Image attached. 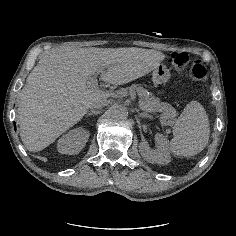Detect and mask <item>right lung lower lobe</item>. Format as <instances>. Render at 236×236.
<instances>
[{"mask_svg":"<svg viewBox=\"0 0 236 236\" xmlns=\"http://www.w3.org/2000/svg\"><path fill=\"white\" fill-rule=\"evenodd\" d=\"M14 128L16 129V125H15V123H14Z\"/></svg>","mask_w":236,"mask_h":236,"instance_id":"98d812e1","label":"right lung lower lobe"}]
</instances>
